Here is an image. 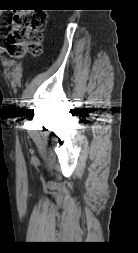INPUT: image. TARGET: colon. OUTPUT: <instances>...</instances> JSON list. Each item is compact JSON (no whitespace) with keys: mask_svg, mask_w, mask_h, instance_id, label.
<instances>
[{"mask_svg":"<svg viewBox=\"0 0 138 253\" xmlns=\"http://www.w3.org/2000/svg\"><path fill=\"white\" fill-rule=\"evenodd\" d=\"M47 17L44 12L19 11L10 20L7 34L8 53L21 57L27 53L37 55L41 51L42 34Z\"/></svg>","mask_w":138,"mask_h":253,"instance_id":"colon-1","label":"colon"}]
</instances>
